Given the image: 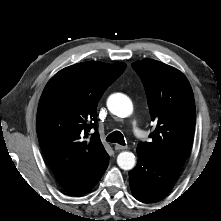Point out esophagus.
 I'll return each mask as SVG.
<instances>
[{
    "label": "esophagus",
    "mask_w": 221,
    "mask_h": 221,
    "mask_svg": "<svg viewBox=\"0 0 221 221\" xmlns=\"http://www.w3.org/2000/svg\"><path fill=\"white\" fill-rule=\"evenodd\" d=\"M115 150H125L127 149L128 147L127 146H123V145H120V144H116L114 146Z\"/></svg>",
    "instance_id": "esophagus-1"
}]
</instances>
